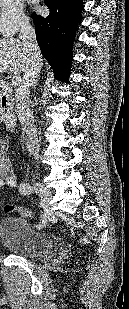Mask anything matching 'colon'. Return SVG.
Instances as JSON below:
<instances>
[{"label":"colon","mask_w":129,"mask_h":309,"mask_svg":"<svg viewBox=\"0 0 129 309\" xmlns=\"http://www.w3.org/2000/svg\"><path fill=\"white\" fill-rule=\"evenodd\" d=\"M5 211L6 212H16L18 213L19 215L23 216V217H27V218H31L33 216V213L28 210V209H25V208H21V207H15V206H12V205H7L5 207Z\"/></svg>","instance_id":"colon-1"}]
</instances>
